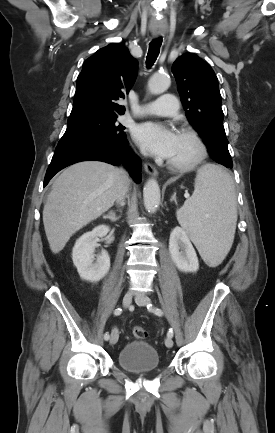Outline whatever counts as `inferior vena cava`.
Returning <instances> with one entry per match:
<instances>
[{
  "label": "inferior vena cava",
  "instance_id": "602c4592",
  "mask_svg": "<svg viewBox=\"0 0 275 433\" xmlns=\"http://www.w3.org/2000/svg\"><path fill=\"white\" fill-rule=\"evenodd\" d=\"M126 191H127V189H126ZM126 191H125V192H126ZM124 194H125V193H124ZM121 200H122V201H121ZM121 200H120V201H121L120 204L123 205V197L121 198Z\"/></svg>",
  "mask_w": 275,
  "mask_h": 433
}]
</instances>
